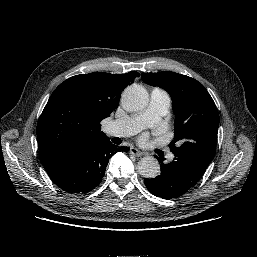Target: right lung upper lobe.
I'll list each match as a JSON object with an SVG mask.
<instances>
[{
  "instance_id": "obj_1",
  "label": "right lung upper lobe",
  "mask_w": 257,
  "mask_h": 257,
  "mask_svg": "<svg viewBox=\"0 0 257 257\" xmlns=\"http://www.w3.org/2000/svg\"><path fill=\"white\" fill-rule=\"evenodd\" d=\"M138 76L136 71L122 75L94 72L62 82L37 125L41 163L72 147L108 139L100 122L118 107L121 91Z\"/></svg>"
}]
</instances>
